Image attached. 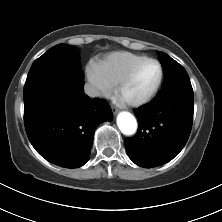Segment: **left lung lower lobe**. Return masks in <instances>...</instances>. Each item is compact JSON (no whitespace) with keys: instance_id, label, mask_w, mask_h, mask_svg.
Instances as JSON below:
<instances>
[{"instance_id":"1","label":"left lung lower lobe","mask_w":222,"mask_h":222,"mask_svg":"<svg viewBox=\"0 0 222 222\" xmlns=\"http://www.w3.org/2000/svg\"><path fill=\"white\" fill-rule=\"evenodd\" d=\"M193 108L190 85L164 88L150 103L135 110L138 132L124 141L130 159L145 168L172 160L189 138Z\"/></svg>"}]
</instances>
